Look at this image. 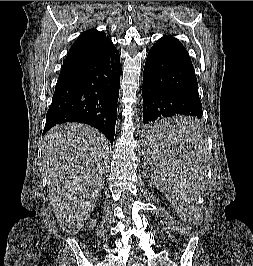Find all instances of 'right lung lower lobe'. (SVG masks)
Masks as SVG:
<instances>
[{
	"instance_id": "right-lung-lower-lobe-1",
	"label": "right lung lower lobe",
	"mask_w": 253,
	"mask_h": 266,
	"mask_svg": "<svg viewBox=\"0 0 253 266\" xmlns=\"http://www.w3.org/2000/svg\"><path fill=\"white\" fill-rule=\"evenodd\" d=\"M120 55L106 56L59 75L43 135L66 122L89 124L113 144L120 87Z\"/></svg>"
}]
</instances>
